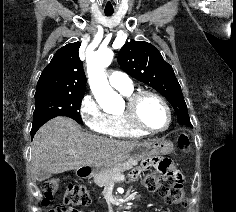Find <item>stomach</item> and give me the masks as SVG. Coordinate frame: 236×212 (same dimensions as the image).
<instances>
[{
    "label": "stomach",
    "instance_id": "0dacf381",
    "mask_svg": "<svg viewBox=\"0 0 236 212\" xmlns=\"http://www.w3.org/2000/svg\"><path fill=\"white\" fill-rule=\"evenodd\" d=\"M173 150V144L164 139H152L149 141L141 142L139 145L132 148L130 151L123 155L111 157L101 164L89 167V172L83 168L77 170L78 176H85L88 174L98 175L104 171L118 165L125 160H146L153 156L165 155Z\"/></svg>",
    "mask_w": 236,
    "mask_h": 212
}]
</instances>
